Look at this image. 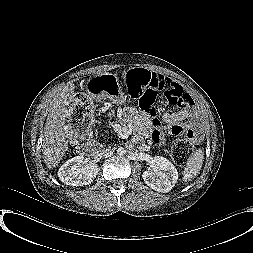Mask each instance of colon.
Listing matches in <instances>:
<instances>
[{
    "label": "colon",
    "instance_id": "obj_1",
    "mask_svg": "<svg viewBox=\"0 0 253 253\" xmlns=\"http://www.w3.org/2000/svg\"><path fill=\"white\" fill-rule=\"evenodd\" d=\"M128 95L139 101L140 108L148 113H156V99L164 93L170 105L184 106L191 103L187 93H180L176 86L164 77L145 69L131 68L122 72ZM93 102L86 94L75 99L72 121L75 127V140L81 138L83 130L92 122ZM195 135L188 130L184 136L176 138L171 145V155L175 164L183 166L194 151Z\"/></svg>",
    "mask_w": 253,
    "mask_h": 253
}]
</instances>
